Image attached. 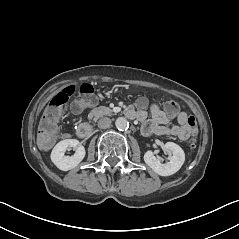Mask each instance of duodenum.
I'll use <instances>...</instances> for the list:
<instances>
[{
	"instance_id": "1",
	"label": "duodenum",
	"mask_w": 239,
	"mask_h": 239,
	"mask_svg": "<svg viewBox=\"0 0 239 239\" xmlns=\"http://www.w3.org/2000/svg\"><path fill=\"white\" fill-rule=\"evenodd\" d=\"M93 131V127L89 123H81L77 128V135L80 138H88Z\"/></svg>"
}]
</instances>
